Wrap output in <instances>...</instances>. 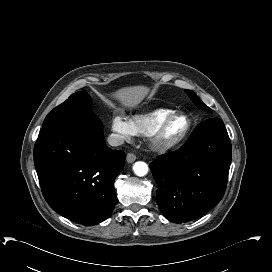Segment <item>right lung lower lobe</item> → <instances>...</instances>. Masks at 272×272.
Masks as SVG:
<instances>
[{"instance_id":"right-lung-lower-lobe-1","label":"right lung lower lobe","mask_w":272,"mask_h":272,"mask_svg":"<svg viewBox=\"0 0 272 272\" xmlns=\"http://www.w3.org/2000/svg\"><path fill=\"white\" fill-rule=\"evenodd\" d=\"M125 154L105 144L100 120L90 111L44 126L34 164L45 200L60 215L84 224L104 221L115 205L114 180Z\"/></svg>"}]
</instances>
